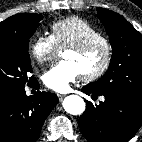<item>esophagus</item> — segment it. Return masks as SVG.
I'll return each instance as SVG.
<instances>
[{
	"label": "esophagus",
	"mask_w": 142,
	"mask_h": 142,
	"mask_svg": "<svg viewBox=\"0 0 142 142\" xmlns=\"http://www.w3.org/2000/svg\"><path fill=\"white\" fill-rule=\"evenodd\" d=\"M58 97H59V100L61 101V100H63L64 99V95H62V94H58Z\"/></svg>",
	"instance_id": "obj_1"
}]
</instances>
